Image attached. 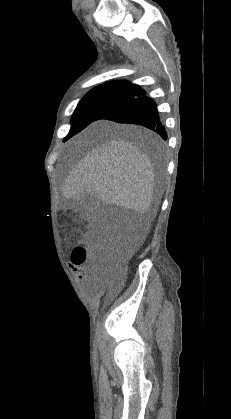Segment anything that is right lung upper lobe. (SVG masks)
Listing matches in <instances>:
<instances>
[{"label":"right lung upper lobe","instance_id":"1","mask_svg":"<svg viewBox=\"0 0 231 419\" xmlns=\"http://www.w3.org/2000/svg\"><path fill=\"white\" fill-rule=\"evenodd\" d=\"M104 86H116V87H136L137 85L131 84L128 81L122 80V81H113L108 82L103 85H100L98 87H104Z\"/></svg>","mask_w":231,"mask_h":419}]
</instances>
